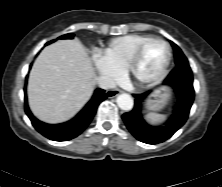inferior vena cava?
I'll use <instances>...</instances> for the list:
<instances>
[{
	"label": "inferior vena cava",
	"instance_id": "602c4592",
	"mask_svg": "<svg viewBox=\"0 0 222 187\" xmlns=\"http://www.w3.org/2000/svg\"><path fill=\"white\" fill-rule=\"evenodd\" d=\"M96 83L98 84L100 88L105 89V90L115 88L116 86L115 82L107 76L97 77Z\"/></svg>",
	"mask_w": 222,
	"mask_h": 187
}]
</instances>
